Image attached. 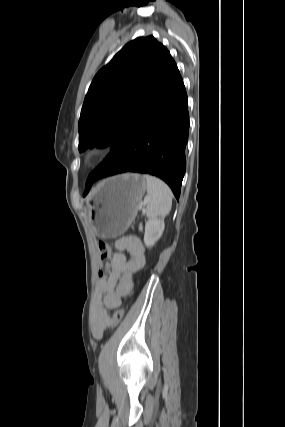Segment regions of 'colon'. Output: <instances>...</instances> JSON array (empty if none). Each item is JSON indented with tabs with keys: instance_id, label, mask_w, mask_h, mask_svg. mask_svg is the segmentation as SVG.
<instances>
[{
	"instance_id": "obj_1",
	"label": "colon",
	"mask_w": 285,
	"mask_h": 427,
	"mask_svg": "<svg viewBox=\"0 0 285 427\" xmlns=\"http://www.w3.org/2000/svg\"><path fill=\"white\" fill-rule=\"evenodd\" d=\"M99 250V265H98V277L100 281H104L108 278L110 273V256L112 252L111 246L103 241L98 243ZM124 309H117L110 318L109 328L115 327L123 318Z\"/></svg>"
}]
</instances>
